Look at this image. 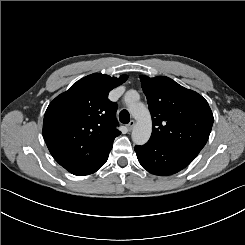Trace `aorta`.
I'll return each instance as SVG.
<instances>
[{
  "label": "aorta",
  "mask_w": 245,
  "mask_h": 245,
  "mask_svg": "<svg viewBox=\"0 0 245 245\" xmlns=\"http://www.w3.org/2000/svg\"><path fill=\"white\" fill-rule=\"evenodd\" d=\"M136 93L127 92L125 101L127 102L129 112L137 121L132 130V140L137 145L147 143L152 133V120L149 110L144 104L135 100Z\"/></svg>",
  "instance_id": "762f6f07"
}]
</instances>
